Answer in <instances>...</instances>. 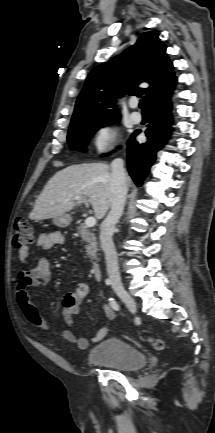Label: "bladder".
<instances>
[{
  "mask_svg": "<svg viewBox=\"0 0 215 433\" xmlns=\"http://www.w3.org/2000/svg\"><path fill=\"white\" fill-rule=\"evenodd\" d=\"M89 364L105 365L122 372L145 366L146 357L138 348L119 338H106L87 354Z\"/></svg>",
  "mask_w": 215,
  "mask_h": 433,
  "instance_id": "obj_1",
  "label": "bladder"
}]
</instances>
